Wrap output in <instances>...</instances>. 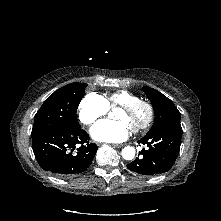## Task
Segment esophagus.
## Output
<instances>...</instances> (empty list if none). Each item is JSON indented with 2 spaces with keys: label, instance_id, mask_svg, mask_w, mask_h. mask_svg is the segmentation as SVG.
Listing matches in <instances>:
<instances>
[{
  "label": "esophagus",
  "instance_id": "34e87169",
  "mask_svg": "<svg viewBox=\"0 0 221 221\" xmlns=\"http://www.w3.org/2000/svg\"><path fill=\"white\" fill-rule=\"evenodd\" d=\"M112 146H113L114 148H121V147L124 146V144H112Z\"/></svg>",
  "mask_w": 221,
  "mask_h": 221
}]
</instances>
